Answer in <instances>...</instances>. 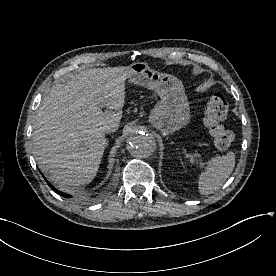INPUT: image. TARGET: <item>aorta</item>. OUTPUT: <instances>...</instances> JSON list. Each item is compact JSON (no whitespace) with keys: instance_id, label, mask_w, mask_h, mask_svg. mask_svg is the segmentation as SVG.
<instances>
[{"instance_id":"obj_1","label":"aorta","mask_w":276,"mask_h":276,"mask_svg":"<svg viewBox=\"0 0 276 276\" xmlns=\"http://www.w3.org/2000/svg\"><path fill=\"white\" fill-rule=\"evenodd\" d=\"M128 152L136 158H148L156 149V139L144 131H136L127 140Z\"/></svg>"}]
</instances>
